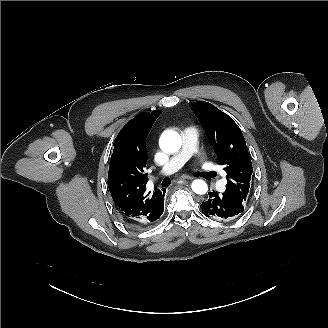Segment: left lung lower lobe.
I'll return each mask as SVG.
<instances>
[{
	"label": "left lung lower lobe",
	"instance_id": "obj_1",
	"mask_svg": "<svg viewBox=\"0 0 328 328\" xmlns=\"http://www.w3.org/2000/svg\"><path fill=\"white\" fill-rule=\"evenodd\" d=\"M209 200L201 204L202 213L205 216L217 220H230L243 212V204L236 201L224 193L218 195L215 192H209Z\"/></svg>",
	"mask_w": 328,
	"mask_h": 328
}]
</instances>
